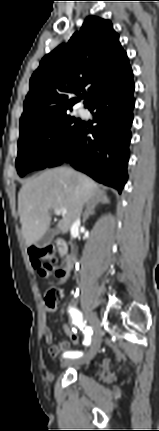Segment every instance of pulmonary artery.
Listing matches in <instances>:
<instances>
[{"label": "pulmonary artery", "mask_w": 159, "mask_h": 431, "mask_svg": "<svg viewBox=\"0 0 159 431\" xmlns=\"http://www.w3.org/2000/svg\"><path fill=\"white\" fill-rule=\"evenodd\" d=\"M80 113H81V114H84V113H85V110H80Z\"/></svg>", "instance_id": "obj_1"}]
</instances>
